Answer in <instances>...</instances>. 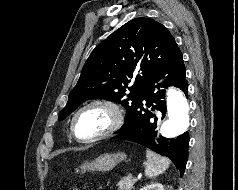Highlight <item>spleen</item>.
<instances>
[{"label":"spleen","mask_w":238,"mask_h":190,"mask_svg":"<svg viewBox=\"0 0 238 190\" xmlns=\"http://www.w3.org/2000/svg\"><path fill=\"white\" fill-rule=\"evenodd\" d=\"M146 158L145 175L148 178L159 176L165 172L170 165V161L166 157H162L150 150H146Z\"/></svg>","instance_id":"obj_1"}]
</instances>
